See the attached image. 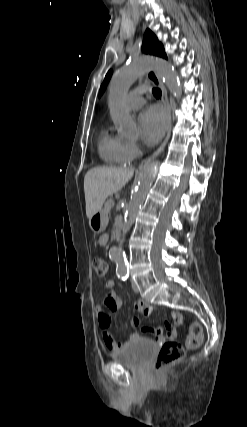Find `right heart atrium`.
I'll return each instance as SVG.
<instances>
[{
    "label": "right heart atrium",
    "instance_id": "right-heart-atrium-1",
    "mask_svg": "<svg viewBox=\"0 0 247 427\" xmlns=\"http://www.w3.org/2000/svg\"><path fill=\"white\" fill-rule=\"evenodd\" d=\"M127 151H128V155L131 159V158L136 157L139 154L140 149H139V146L136 142L128 141L127 142Z\"/></svg>",
    "mask_w": 247,
    "mask_h": 427
}]
</instances>
